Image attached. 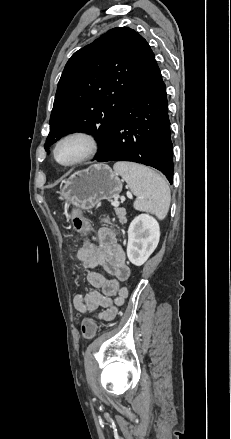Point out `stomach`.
Returning a JSON list of instances; mask_svg holds the SVG:
<instances>
[{
  "mask_svg": "<svg viewBox=\"0 0 231 439\" xmlns=\"http://www.w3.org/2000/svg\"><path fill=\"white\" fill-rule=\"evenodd\" d=\"M121 191L118 174L106 164H95L72 174L58 193L68 206L90 210L101 200L118 198Z\"/></svg>",
  "mask_w": 231,
  "mask_h": 439,
  "instance_id": "0dacf381",
  "label": "stomach"
}]
</instances>
